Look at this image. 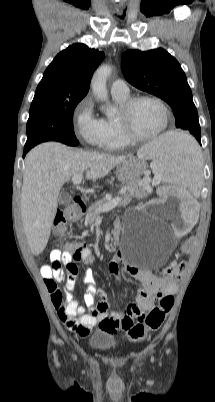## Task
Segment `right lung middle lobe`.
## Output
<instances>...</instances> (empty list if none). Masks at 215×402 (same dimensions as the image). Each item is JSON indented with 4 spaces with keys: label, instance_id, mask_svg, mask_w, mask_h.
<instances>
[{
    "label": "right lung middle lobe",
    "instance_id": "obj_1",
    "mask_svg": "<svg viewBox=\"0 0 215 402\" xmlns=\"http://www.w3.org/2000/svg\"><path fill=\"white\" fill-rule=\"evenodd\" d=\"M82 98L36 95L31 103L25 147L45 141L79 144L73 131V112Z\"/></svg>",
    "mask_w": 215,
    "mask_h": 402
}]
</instances>
